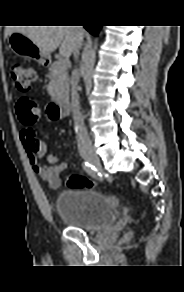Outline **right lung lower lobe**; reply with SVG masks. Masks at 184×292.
Masks as SVG:
<instances>
[{
  "mask_svg": "<svg viewBox=\"0 0 184 292\" xmlns=\"http://www.w3.org/2000/svg\"><path fill=\"white\" fill-rule=\"evenodd\" d=\"M86 30H88L92 35L97 36L100 28L99 25H85Z\"/></svg>",
  "mask_w": 184,
  "mask_h": 292,
  "instance_id": "98d812e1",
  "label": "right lung lower lobe"
}]
</instances>
